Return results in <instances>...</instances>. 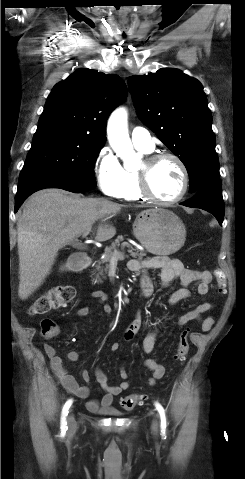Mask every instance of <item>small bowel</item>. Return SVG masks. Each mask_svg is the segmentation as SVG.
Segmentation results:
<instances>
[{
    "instance_id": "small-bowel-1",
    "label": "small bowel",
    "mask_w": 245,
    "mask_h": 479,
    "mask_svg": "<svg viewBox=\"0 0 245 479\" xmlns=\"http://www.w3.org/2000/svg\"><path fill=\"white\" fill-rule=\"evenodd\" d=\"M129 269L133 272H142L143 277L141 280V289L145 296L149 297L153 293V284L147 275L149 270H159L162 284L168 285L174 280H178L181 284V288L175 290L169 296V304L175 305L183 300L191 297V291L189 286L196 284V292L198 295L204 296L208 293L209 284L212 281V274L208 270H192L183 266L182 262L178 259L168 258L164 256H156L147 260L132 259L128 263ZM92 297L98 302L104 305V311L110 313L112 311L111 306L108 304V295L103 291H94ZM212 304L209 302H202L195 308L189 310L185 314L179 317L177 324L183 326L191 321L201 320L203 313L209 312L212 309ZM89 313V308L84 306L80 307L76 311L78 317L86 316ZM214 318L208 316L201 321L202 331H209L214 325ZM142 326V318L140 313H137L134 319L130 322L124 332V338L126 340H132L139 332ZM157 328H152L143 340V351L147 355H152L155 350ZM120 344L113 342L110 345L111 351H118ZM44 352L50 359L51 368L60 381L65 390L79 398L87 399L90 395L89 387L86 385H80L75 378L66 370L63 360L57 355L56 349L51 344H45ZM80 352L77 350H70L67 353V359L71 362L78 361ZM145 366L151 371V376L148 380L150 386L155 385L156 381L161 379L165 374V367L154 358H148L145 360ZM119 376L123 380L119 385H111L108 383L107 375L99 368L95 370V378L98 384L104 391L103 396L100 399H90L87 402V408L92 412L105 411L109 409L113 403L114 397L121 394L123 391L130 389L131 384L128 379V372L121 367L119 369ZM81 377L84 382H90V374L87 370L81 371Z\"/></svg>"
}]
</instances>
